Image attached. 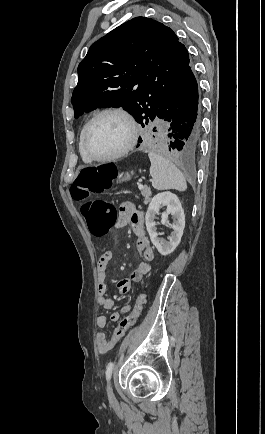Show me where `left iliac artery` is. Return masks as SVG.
I'll return each mask as SVG.
<instances>
[{
    "mask_svg": "<svg viewBox=\"0 0 265 434\" xmlns=\"http://www.w3.org/2000/svg\"><path fill=\"white\" fill-rule=\"evenodd\" d=\"M113 368H114V363L113 362L108 363V365L106 367V379L108 381L110 380V378L112 376Z\"/></svg>",
    "mask_w": 265,
    "mask_h": 434,
    "instance_id": "44dca946",
    "label": "left iliac artery"
}]
</instances>
